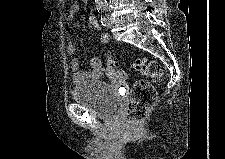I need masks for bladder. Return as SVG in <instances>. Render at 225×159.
I'll return each mask as SVG.
<instances>
[{
  "label": "bladder",
  "instance_id": "1",
  "mask_svg": "<svg viewBox=\"0 0 225 159\" xmlns=\"http://www.w3.org/2000/svg\"><path fill=\"white\" fill-rule=\"evenodd\" d=\"M72 99L105 120L116 119L121 110L119 95L102 81H90L75 87Z\"/></svg>",
  "mask_w": 225,
  "mask_h": 159
}]
</instances>
